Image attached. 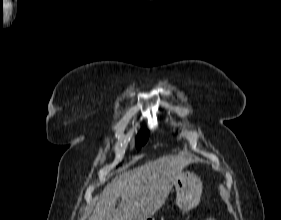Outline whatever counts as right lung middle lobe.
<instances>
[{"instance_id": "obj_1", "label": "right lung middle lobe", "mask_w": 281, "mask_h": 220, "mask_svg": "<svg viewBox=\"0 0 281 220\" xmlns=\"http://www.w3.org/2000/svg\"><path fill=\"white\" fill-rule=\"evenodd\" d=\"M148 136H149V132L142 130L140 132V134L138 135V138H137V140H138V145L137 146L139 147L140 144H142V145L145 144L147 139H148Z\"/></svg>"}]
</instances>
